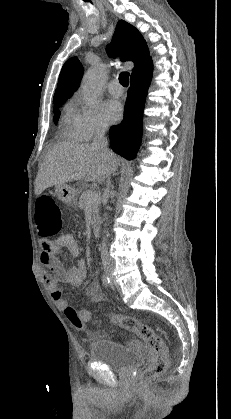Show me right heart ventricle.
<instances>
[{
    "label": "right heart ventricle",
    "mask_w": 231,
    "mask_h": 419,
    "mask_svg": "<svg viewBox=\"0 0 231 419\" xmlns=\"http://www.w3.org/2000/svg\"><path fill=\"white\" fill-rule=\"evenodd\" d=\"M60 131L61 135L67 140H81L75 125V109L71 105L65 107Z\"/></svg>",
    "instance_id": "right-heart-ventricle-1"
}]
</instances>
